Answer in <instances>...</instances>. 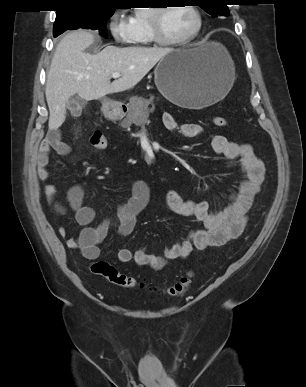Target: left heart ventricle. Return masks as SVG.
Returning a JSON list of instances; mask_svg holds the SVG:
<instances>
[{"instance_id": "left-heart-ventricle-1", "label": "left heart ventricle", "mask_w": 306, "mask_h": 387, "mask_svg": "<svg viewBox=\"0 0 306 387\" xmlns=\"http://www.w3.org/2000/svg\"><path fill=\"white\" fill-rule=\"evenodd\" d=\"M196 19L186 6L169 7L162 15L161 27L168 39L186 37L195 27Z\"/></svg>"}]
</instances>
